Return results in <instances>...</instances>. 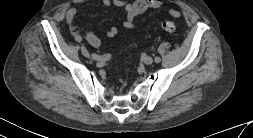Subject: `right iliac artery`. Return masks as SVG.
<instances>
[{
  "instance_id": "1",
  "label": "right iliac artery",
  "mask_w": 253,
  "mask_h": 138,
  "mask_svg": "<svg viewBox=\"0 0 253 138\" xmlns=\"http://www.w3.org/2000/svg\"><path fill=\"white\" fill-rule=\"evenodd\" d=\"M74 40L77 42V43H80L82 41V38L79 36V35H76L74 37ZM111 55L110 54H104L102 56H98L96 54H92V58L93 59H100V60H108L110 59Z\"/></svg>"
}]
</instances>
